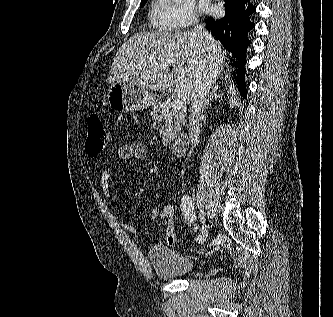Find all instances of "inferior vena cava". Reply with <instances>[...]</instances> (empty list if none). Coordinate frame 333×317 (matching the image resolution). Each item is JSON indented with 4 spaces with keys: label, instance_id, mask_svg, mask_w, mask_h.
Here are the masks:
<instances>
[{
    "label": "inferior vena cava",
    "instance_id": "obj_1",
    "mask_svg": "<svg viewBox=\"0 0 333 317\" xmlns=\"http://www.w3.org/2000/svg\"><path fill=\"white\" fill-rule=\"evenodd\" d=\"M193 32L196 33L197 36L201 39L209 40V34L205 31L203 26L196 25ZM212 74L213 70L212 66L210 65L207 75L199 78L196 81L195 89L191 97V108L189 113V136L193 148L196 147L199 143V117L205 97L207 96L212 85Z\"/></svg>",
    "mask_w": 333,
    "mask_h": 317
}]
</instances>
